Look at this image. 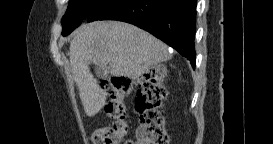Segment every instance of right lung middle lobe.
I'll list each match as a JSON object with an SVG mask.
<instances>
[{
  "label": "right lung middle lobe",
  "instance_id": "1",
  "mask_svg": "<svg viewBox=\"0 0 273 144\" xmlns=\"http://www.w3.org/2000/svg\"><path fill=\"white\" fill-rule=\"evenodd\" d=\"M110 0H69V6L62 18L64 36L72 32L84 18H90Z\"/></svg>",
  "mask_w": 273,
  "mask_h": 144
}]
</instances>
